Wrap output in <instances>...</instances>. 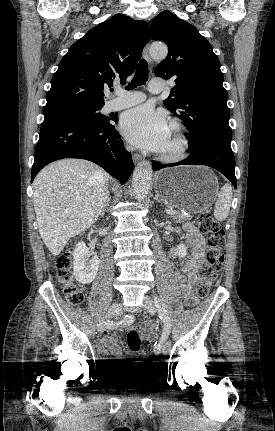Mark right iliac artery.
Segmentation results:
<instances>
[{
    "instance_id": "1",
    "label": "right iliac artery",
    "mask_w": 275,
    "mask_h": 431,
    "mask_svg": "<svg viewBox=\"0 0 275 431\" xmlns=\"http://www.w3.org/2000/svg\"><path fill=\"white\" fill-rule=\"evenodd\" d=\"M134 322V316L132 315H126L121 321L114 323L110 320L105 322V325L108 329H115V328H123L126 326L131 325Z\"/></svg>"
}]
</instances>
